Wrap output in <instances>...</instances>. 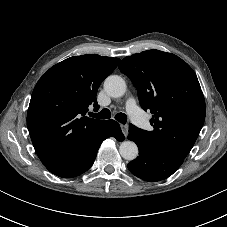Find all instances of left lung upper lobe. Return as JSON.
Instances as JSON below:
<instances>
[{"label": "left lung upper lobe", "instance_id": "1", "mask_svg": "<svg viewBox=\"0 0 227 227\" xmlns=\"http://www.w3.org/2000/svg\"><path fill=\"white\" fill-rule=\"evenodd\" d=\"M118 67L137 88L141 107L154 115L150 121L153 131L140 129L145 140L159 151L184 160L206 114L192 68L176 55L159 50L126 57Z\"/></svg>", "mask_w": 227, "mask_h": 227}]
</instances>
